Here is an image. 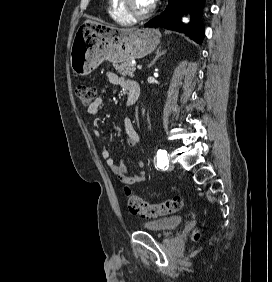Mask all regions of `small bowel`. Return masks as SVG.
Listing matches in <instances>:
<instances>
[{
	"label": "small bowel",
	"instance_id": "c3829d8e",
	"mask_svg": "<svg viewBox=\"0 0 272 282\" xmlns=\"http://www.w3.org/2000/svg\"><path fill=\"white\" fill-rule=\"evenodd\" d=\"M107 79L109 82L113 85H118L122 89H126V83L125 80L126 78H120L114 73H110L107 75ZM104 94H105V88H102L100 91V95L97 97L95 102L88 108V113L91 115H95L99 113L102 108L104 107ZM124 127L126 131V140L127 143L130 146H136L140 143V136L136 129L134 128L132 122L129 119L124 120ZM94 135L96 137L100 136V133L98 130L94 131ZM101 154L103 158L106 161L107 166L119 176V179L126 183V184H136L143 182L145 180V172L142 170L139 174L137 175H130L127 172L126 166L124 164L123 160H120L119 162H116L114 158L110 156L109 150L106 148H103L101 151ZM139 166L141 168H144L145 166V159L141 158L139 160Z\"/></svg>",
	"mask_w": 272,
	"mask_h": 282
}]
</instances>
